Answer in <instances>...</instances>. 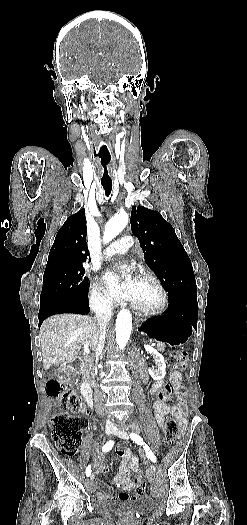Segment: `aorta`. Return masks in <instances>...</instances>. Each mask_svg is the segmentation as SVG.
Here are the masks:
<instances>
[{
	"mask_svg": "<svg viewBox=\"0 0 247 525\" xmlns=\"http://www.w3.org/2000/svg\"><path fill=\"white\" fill-rule=\"evenodd\" d=\"M129 216L125 211L114 215L105 226L103 233L104 243H109L128 224ZM132 330V315L129 310L122 309L116 319V343L119 349L127 345Z\"/></svg>",
	"mask_w": 247,
	"mask_h": 525,
	"instance_id": "aorta-1",
	"label": "aorta"
}]
</instances>
